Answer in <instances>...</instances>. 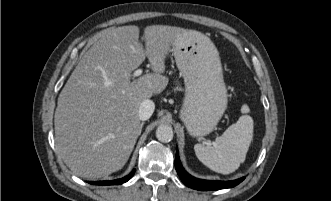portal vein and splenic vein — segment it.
<instances>
[{
	"label": "portal vein and splenic vein",
	"instance_id": "portal-vein-and-splenic-vein-1",
	"mask_svg": "<svg viewBox=\"0 0 331 201\" xmlns=\"http://www.w3.org/2000/svg\"><path fill=\"white\" fill-rule=\"evenodd\" d=\"M142 74V70L141 69H138V70H136L134 73H133V77H137V76H139V75H141Z\"/></svg>",
	"mask_w": 331,
	"mask_h": 201
}]
</instances>
